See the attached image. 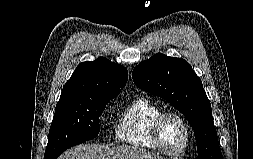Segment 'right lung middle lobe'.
I'll return each mask as SVG.
<instances>
[{"instance_id":"right-lung-middle-lobe-1","label":"right lung middle lobe","mask_w":253,"mask_h":159,"mask_svg":"<svg viewBox=\"0 0 253 159\" xmlns=\"http://www.w3.org/2000/svg\"><path fill=\"white\" fill-rule=\"evenodd\" d=\"M112 98L76 97L59 100L44 159H56L66 149L98 136L99 117Z\"/></svg>"}]
</instances>
